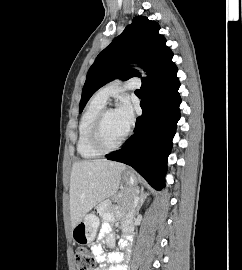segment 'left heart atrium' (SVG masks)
Here are the masks:
<instances>
[{"mask_svg": "<svg viewBox=\"0 0 242 270\" xmlns=\"http://www.w3.org/2000/svg\"><path fill=\"white\" fill-rule=\"evenodd\" d=\"M124 128L129 130L134 120L132 105L128 100H123L116 110Z\"/></svg>", "mask_w": 242, "mask_h": 270, "instance_id": "39dd6f15", "label": "left heart atrium"}]
</instances>
